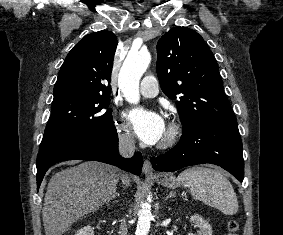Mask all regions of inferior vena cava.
<instances>
[{
  "instance_id": "obj_1",
  "label": "inferior vena cava",
  "mask_w": 283,
  "mask_h": 235,
  "mask_svg": "<svg viewBox=\"0 0 283 235\" xmlns=\"http://www.w3.org/2000/svg\"><path fill=\"white\" fill-rule=\"evenodd\" d=\"M135 151L134 135L126 130L125 133L119 135V153L126 158L132 157ZM120 235H127V224L123 221L120 224Z\"/></svg>"
}]
</instances>
